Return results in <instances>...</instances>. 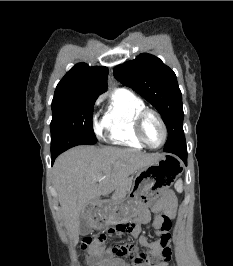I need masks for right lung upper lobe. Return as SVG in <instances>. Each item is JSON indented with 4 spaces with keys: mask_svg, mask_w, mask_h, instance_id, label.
<instances>
[{
    "mask_svg": "<svg viewBox=\"0 0 233 266\" xmlns=\"http://www.w3.org/2000/svg\"><path fill=\"white\" fill-rule=\"evenodd\" d=\"M108 69L75 65L58 83L53 100L79 96H98L107 90Z\"/></svg>",
    "mask_w": 233,
    "mask_h": 266,
    "instance_id": "cb5924a9",
    "label": "right lung upper lobe"
}]
</instances>
